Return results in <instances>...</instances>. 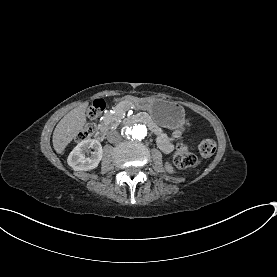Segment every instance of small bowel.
Returning <instances> with one entry per match:
<instances>
[{"label": "small bowel", "mask_w": 277, "mask_h": 277, "mask_svg": "<svg viewBox=\"0 0 277 277\" xmlns=\"http://www.w3.org/2000/svg\"><path fill=\"white\" fill-rule=\"evenodd\" d=\"M155 132L157 144L164 153H171L174 149L175 140L181 138L185 131L186 126L184 124L178 125L171 134H168L165 130L159 127L152 126Z\"/></svg>", "instance_id": "c3829d8e"}]
</instances>
